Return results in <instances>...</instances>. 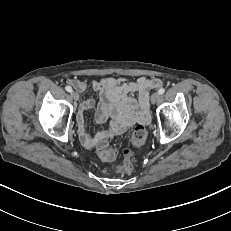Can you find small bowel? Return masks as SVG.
Instances as JSON below:
<instances>
[{"mask_svg": "<svg viewBox=\"0 0 231 231\" xmlns=\"http://www.w3.org/2000/svg\"><path fill=\"white\" fill-rule=\"evenodd\" d=\"M68 82L79 92H83L88 86L86 82L78 79H70ZM161 85L160 79L144 76L134 81L125 77L92 80L90 86L99 93L95 119L100 124L110 122L106 129L91 135L87 130L85 112L94 107L95 101L91 98L84 100L77 114L78 134L82 145L92 149L106 139L123 133L135 123H148L149 90L157 89Z\"/></svg>", "mask_w": 231, "mask_h": 231, "instance_id": "obj_1", "label": "small bowel"}]
</instances>
